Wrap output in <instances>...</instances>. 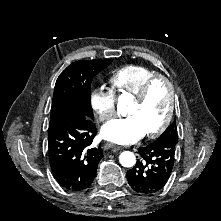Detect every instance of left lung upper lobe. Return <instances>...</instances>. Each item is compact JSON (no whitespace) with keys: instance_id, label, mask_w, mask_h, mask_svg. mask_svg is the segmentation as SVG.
Instances as JSON below:
<instances>
[{"instance_id":"5c2ea615","label":"left lung upper lobe","mask_w":221,"mask_h":221,"mask_svg":"<svg viewBox=\"0 0 221 221\" xmlns=\"http://www.w3.org/2000/svg\"><path fill=\"white\" fill-rule=\"evenodd\" d=\"M176 122L169 126L159 138H168L177 141Z\"/></svg>"}]
</instances>
